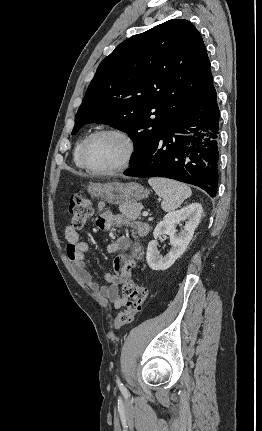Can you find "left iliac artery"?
Returning <instances> with one entry per match:
<instances>
[{
	"instance_id": "44dca946",
	"label": "left iliac artery",
	"mask_w": 262,
	"mask_h": 431,
	"mask_svg": "<svg viewBox=\"0 0 262 431\" xmlns=\"http://www.w3.org/2000/svg\"><path fill=\"white\" fill-rule=\"evenodd\" d=\"M117 383H118L121 387H123V385H122V383H120V380H119V379H117Z\"/></svg>"
}]
</instances>
